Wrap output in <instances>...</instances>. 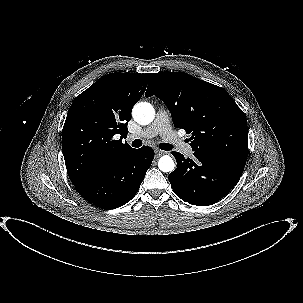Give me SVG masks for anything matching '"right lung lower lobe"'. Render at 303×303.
<instances>
[{"mask_svg": "<svg viewBox=\"0 0 303 303\" xmlns=\"http://www.w3.org/2000/svg\"><path fill=\"white\" fill-rule=\"evenodd\" d=\"M154 159L152 148L143 146L76 185L78 193L91 204L115 209L130 201L139 190Z\"/></svg>", "mask_w": 303, "mask_h": 303, "instance_id": "right-lung-lower-lobe-1", "label": "right lung lower lobe"}]
</instances>
